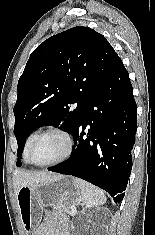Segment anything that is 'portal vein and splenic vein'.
<instances>
[{
	"label": "portal vein and splenic vein",
	"mask_w": 155,
	"mask_h": 235,
	"mask_svg": "<svg viewBox=\"0 0 155 235\" xmlns=\"http://www.w3.org/2000/svg\"><path fill=\"white\" fill-rule=\"evenodd\" d=\"M72 214H76L77 213V210L75 208H72L71 211H70Z\"/></svg>",
	"instance_id": "18ae733b"
}]
</instances>
